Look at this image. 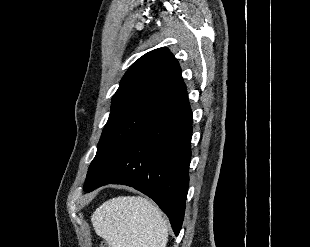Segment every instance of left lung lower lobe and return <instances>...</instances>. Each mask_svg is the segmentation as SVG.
I'll return each mask as SVG.
<instances>
[{
    "label": "left lung lower lobe",
    "mask_w": 310,
    "mask_h": 247,
    "mask_svg": "<svg viewBox=\"0 0 310 247\" xmlns=\"http://www.w3.org/2000/svg\"><path fill=\"white\" fill-rule=\"evenodd\" d=\"M191 136L192 111L185 96L150 124L87 191L112 183L134 187L158 204L178 235L189 184Z\"/></svg>",
    "instance_id": "0a47b994"
}]
</instances>
